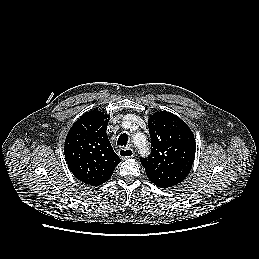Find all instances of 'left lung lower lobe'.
Masks as SVG:
<instances>
[{"label": "left lung lower lobe", "mask_w": 259, "mask_h": 259, "mask_svg": "<svg viewBox=\"0 0 259 259\" xmlns=\"http://www.w3.org/2000/svg\"><path fill=\"white\" fill-rule=\"evenodd\" d=\"M146 174L151 182H153L156 186L162 188L172 187L184 180L180 176L170 173H163L158 175H152L149 173Z\"/></svg>", "instance_id": "1"}]
</instances>
